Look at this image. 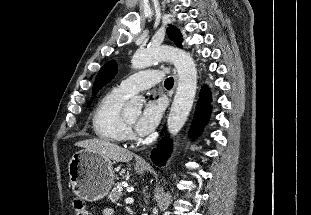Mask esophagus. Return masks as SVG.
Listing matches in <instances>:
<instances>
[{
  "label": "esophagus",
  "instance_id": "obj_1",
  "mask_svg": "<svg viewBox=\"0 0 311 215\" xmlns=\"http://www.w3.org/2000/svg\"><path fill=\"white\" fill-rule=\"evenodd\" d=\"M174 76H175V83H176L177 76H176V73H175V72H174ZM137 164H138V165H141V166H146V165H147V163H146V161H145L144 159H138V160H137Z\"/></svg>",
  "mask_w": 311,
  "mask_h": 215
}]
</instances>
